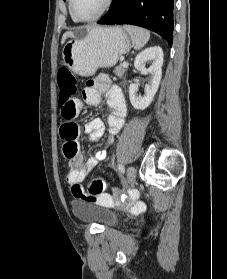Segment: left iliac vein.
I'll list each match as a JSON object with an SVG mask.
<instances>
[{
    "instance_id": "1",
    "label": "left iliac vein",
    "mask_w": 227,
    "mask_h": 279,
    "mask_svg": "<svg viewBox=\"0 0 227 279\" xmlns=\"http://www.w3.org/2000/svg\"><path fill=\"white\" fill-rule=\"evenodd\" d=\"M136 178V170L133 166L127 169V186H131Z\"/></svg>"
}]
</instances>
